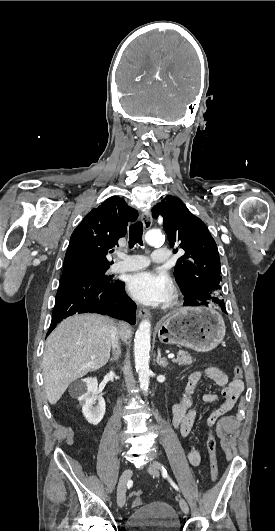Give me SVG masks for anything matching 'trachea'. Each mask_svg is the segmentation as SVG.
Listing matches in <instances>:
<instances>
[{"label": "trachea", "instance_id": "trachea-1", "mask_svg": "<svg viewBox=\"0 0 275 531\" xmlns=\"http://www.w3.org/2000/svg\"><path fill=\"white\" fill-rule=\"evenodd\" d=\"M129 232H130L129 247L133 248V246L136 243L142 246L143 245V241H142L143 224L141 223V221H138L137 223L132 224L130 226Z\"/></svg>", "mask_w": 275, "mask_h": 531}]
</instances>
